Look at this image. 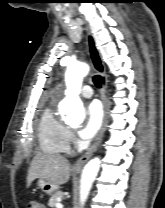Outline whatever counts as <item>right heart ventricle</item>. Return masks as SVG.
I'll return each mask as SVG.
<instances>
[{"mask_svg":"<svg viewBox=\"0 0 165 208\" xmlns=\"http://www.w3.org/2000/svg\"><path fill=\"white\" fill-rule=\"evenodd\" d=\"M38 141L49 154H63L70 150V132L51 107L44 109L38 123Z\"/></svg>","mask_w":165,"mask_h":208,"instance_id":"obj_1","label":"right heart ventricle"}]
</instances>
